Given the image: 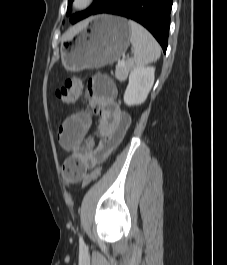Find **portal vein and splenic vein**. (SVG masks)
<instances>
[{
	"instance_id": "18ae733b",
	"label": "portal vein and splenic vein",
	"mask_w": 227,
	"mask_h": 265,
	"mask_svg": "<svg viewBox=\"0 0 227 265\" xmlns=\"http://www.w3.org/2000/svg\"><path fill=\"white\" fill-rule=\"evenodd\" d=\"M125 64V57H123L119 62H118V67H121Z\"/></svg>"
}]
</instances>
